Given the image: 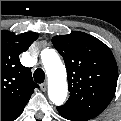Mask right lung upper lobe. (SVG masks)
<instances>
[{
	"instance_id": "right-lung-upper-lobe-1",
	"label": "right lung upper lobe",
	"mask_w": 121,
	"mask_h": 121,
	"mask_svg": "<svg viewBox=\"0 0 121 121\" xmlns=\"http://www.w3.org/2000/svg\"><path fill=\"white\" fill-rule=\"evenodd\" d=\"M35 32L15 35L1 30V121H14L22 113L35 88L31 69L20 63V53L38 38Z\"/></svg>"
}]
</instances>
